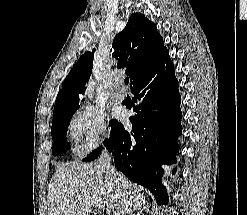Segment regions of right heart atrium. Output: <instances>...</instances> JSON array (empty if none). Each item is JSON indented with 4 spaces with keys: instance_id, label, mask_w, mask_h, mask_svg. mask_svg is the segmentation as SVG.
I'll list each match as a JSON object with an SVG mask.
<instances>
[{
    "instance_id": "d8ad5b80",
    "label": "right heart atrium",
    "mask_w": 247,
    "mask_h": 215,
    "mask_svg": "<svg viewBox=\"0 0 247 215\" xmlns=\"http://www.w3.org/2000/svg\"><path fill=\"white\" fill-rule=\"evenodd\" d=\"M69 135L79 155H87L98 148L108 137L105 114L89 105L80 107L68 125Z\"/></svg>"
}]
</instances>
